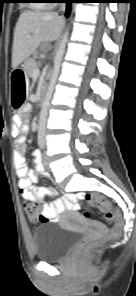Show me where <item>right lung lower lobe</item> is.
<instances>
[{
  "label": "right lung lower lobe",
  "mask_w": 136,
  "mask_h": 296,
  "mask_svg": "<svg viewBox=\"0 0 136 296\" xmlns=\"http://www.w3.org/2000/svg\"><path fill=\"white\" fill-rule=\"evenodd\" d=\"M72 2H75L74 0H69L67 3H68V6H67V12H66V16H68L69 15V12H70V3H72Z\"/></svg>",
  "instance_id": "98d812e1"
}]
</instances>
